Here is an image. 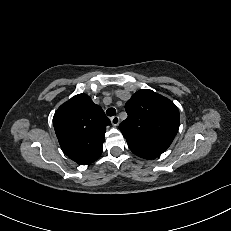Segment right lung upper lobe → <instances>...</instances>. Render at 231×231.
<instances>
[{
	"label": "right lung upper lobe",
	"instance_id": "cb5924a9",
	"mask_svg": "<svg viewBox=\"0 0 231 231\" xmlns=\"http://www.w3.org/2000/svg\"><path fill=\"white\" fill-rule=\"evenodd\" d=\"M53 124L59 144L70 159L88 165L100 157L110 120L88 95L78 94L61 105Z\"/></svg>",
	"mask_w": 231,
	"mask_h": 231
}]
</instances>
